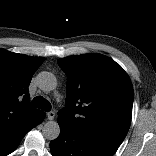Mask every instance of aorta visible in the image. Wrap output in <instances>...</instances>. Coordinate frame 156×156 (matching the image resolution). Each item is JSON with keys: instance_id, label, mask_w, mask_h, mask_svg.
<instances>
[{"instance_id": "1", "label": "aorta", "mask_w": 156, "mask_h": 156, "mask_svg": "<svg viewBox=\"0 0 156 156\" xmlns=\"http://www.w3.org/2000/svg\"><path fill=\"white\" fill-rule=\"evenodd\" d=\"M38 87L44 92H50L57 86V80L51 72H41L37 76ZM42 134L47 140H55L60 134V127L57 121H48L44 124Z\"/></svg>"}]
</instances>
